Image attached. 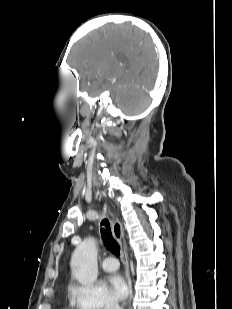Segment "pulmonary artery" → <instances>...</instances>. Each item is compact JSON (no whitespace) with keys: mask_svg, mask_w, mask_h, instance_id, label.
Returning <instances> with one entry per match:
<instances>
[{"mask_svg":"<svg viewBox=\"0 0 232 309\" xmlns=\"http://www.w3.org/2000/svg\"><path fill=\"white\" fill-rule=\"evenodd\" d=\"M118 266L117 260L113 257H107L101 262L102 269L107 272L116 270Z\"/></svg>","mask_w":232,"mask_h":309,"instance_id":"obj_1","label":"pulmonary artery"}]
</instances>
